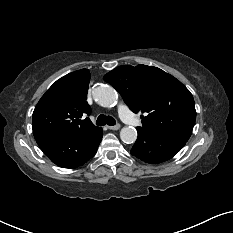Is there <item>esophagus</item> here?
Segmentation results:
<instances>
[{
  "label": "esophagus",
  "mask_w": 233,
  "mask_h": 233,
  "mask_svg": "<svg viewBox=\"0 0 233 233\" xmlns=\"http://www.w3.org/2000/svg\"><path fill=\"white\" fill-rule=\"evenodd\" d=\"M120 124H116V125H113V126H108V128L110 129V130H119L120 129Z\"/></svg>",
  "instance_id": "esophagus-1"
}]
</instances>
